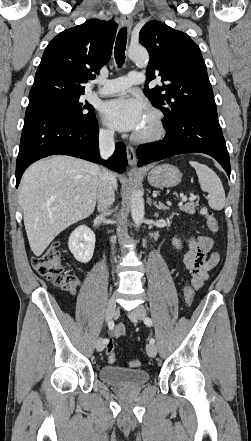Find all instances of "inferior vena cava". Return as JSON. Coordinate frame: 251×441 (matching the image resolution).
<instances>
[{"instance_id": "inferior-vena-cava-1", "label": "inferior vena cava", "mask_w": 251, "mask_h": 441, "mask_svg": "<svg viewBox=\"0 0 251 441\" xmlns=\"http://www.w3.org/2000/svg\"><path fill=\"white\" fill-rule=\"evenodd\" d=\"M100 156L103 159L109 158L115 149L114 131L102 130L99 134ZM115 176L112 172L102 169L97 184V209L102 216L109 214L108 208L114 202ZM115 243V238H111Z\"/></svg>"}]
</instances>
